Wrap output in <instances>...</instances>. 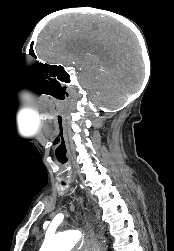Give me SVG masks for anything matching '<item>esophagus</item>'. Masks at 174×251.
I'll return each instance as SVG.
<instances>
[{
  "label": "esophagus",
  "instance_id": "obj_1",
  "mask_svg": "<svg viewBox=\"0 0 174 251\" xmlns=\"http://www.w3.org/2000/svg\"><path fill=\"white\" fill-rule=\"evenodd\" d=\"M80 202L83 203V199L81 197H80ZM88 228H89V236H90L91 240L93 241V243L95 244L96 250L100 251L99 246L96 243L93 229L90 227V225L88 226Z\"/></svg>",
  "mask_w": 174,
  "mask_h": 251
}]
</instances>
